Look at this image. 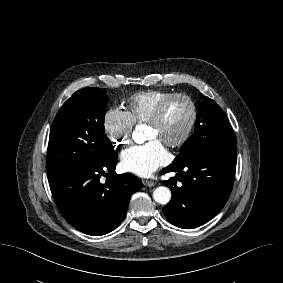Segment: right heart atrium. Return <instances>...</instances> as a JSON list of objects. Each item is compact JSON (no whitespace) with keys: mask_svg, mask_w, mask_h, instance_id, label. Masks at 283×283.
<instances>
[{"mask_svg":"<svg viewBox=\"0 0 283 283\" xmlns=\"http://www.w3.org/2000/svg\"><path fill=\"white\" fill-rule=\"evenodd\" d=\"M133 122L126 111L110 108L103 117V128L116 147L123 148L131 143Z\"/></svg>","mask_w":283,"mask_h":283,"instance_id":"right-heart-atrium-1","label":"right heart atrium"}]
</instances>
